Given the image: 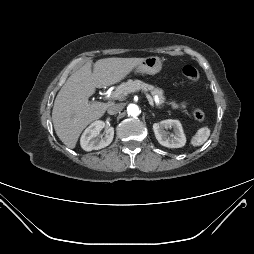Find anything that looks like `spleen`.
I'll list each match as a JSON object with an SVG mask.
<instances>
[{
	"label": "spleen",
	"mask_w": 254,
	"mask_h": 254,
	"mask_svg": "<svg viewBox=\"0 0 254 254\" xmlns=\"http://www.w3.org/2000/svg\"><path fill=\"white\" fill-rule=\"evenodd\" d=\"M210 129L207 126L199 128L196 134L191 139L192 146H201L203 145L210 136Z\"/></svg>",
	"instance_id": "spleen-1"
}]
</instances>
